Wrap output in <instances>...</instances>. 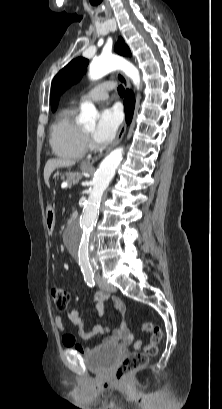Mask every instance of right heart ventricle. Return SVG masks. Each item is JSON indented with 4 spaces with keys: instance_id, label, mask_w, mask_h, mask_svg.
<instances>
[{
    "instance_id": "right-heart-ventricle-1",
    "label": "right heart ventricle",
    "mask_w": 222,
    "mask_h": 409,
    "mask_svg": "<svg viewBox=\"0 0 222 409\" xmlns=\"http://www.w3.org/2000/svg\"><path fill=\"white\" fill-rule=\"evenodd\" d=\"M77 108L60 111L51 127L50 144L54 153L64 159H78L85 153L82 126L76 120Z\"/></svg>"
}]
</instances>
